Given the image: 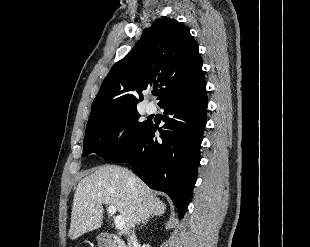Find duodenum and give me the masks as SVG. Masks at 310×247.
<instances>
[{
	"label": "duodenum",
	"mask_w": 310,
	"mask_h": 247,
	"mask_svg": "<svg viewBox=\"0 0 310 247\" xmlns=\"http://www.w3.org/2000/svg\"><path fill=\"white\" fill-rule=\"evenodd\" d=\"M101 247H126L125 243L116 235L102 233L100 236Z\"/></svg>",
	"instance_id": "1"
}]
</instances>
